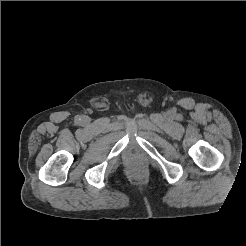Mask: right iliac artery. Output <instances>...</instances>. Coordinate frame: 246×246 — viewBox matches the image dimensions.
I'll return each instance as SVG.
<instances>
[{
    "label": "right iliac artery",
    "instance_id": "1",
    "mask_svg": "<svg viewBox=\"0 0 246 246\" xmlns=\"http://www.w3.org/2000/svg\"><path fill=\"white\" fill-rule=\"evenodd\" d=\"M76 120L78 121V120H80V118H79V117H77V119H76Z\"/></svg>",
    "mask_w": 246,
    "mask_h": 246
}]
</instances>
